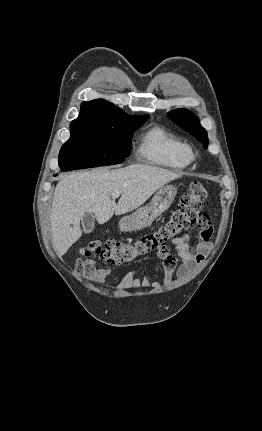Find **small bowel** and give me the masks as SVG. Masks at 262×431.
Wrapping results in <instances>:
<instances>
[{
  "label": "small bowel",
  "mask_w": 262,
  "mask_h": 431,
  "mask_svg": "<svg viewBox=\"0 0 262 431\" xmlns=\"http://www.w3.org/2000/svg\"><path fill=\"white\" fill-rule=\"evenodd\" d=\"M198 225L200 242L196 246L191 245L189 235L185 234L171 240L172 245L176 249V255H160L164 266V278L161 283L152 282L147 275L139 277L134 272L118 275L111 268L97 267L92 260L90 261L92 270L85 273V276L96 283H103L109 277L116 278L122 290L170 286L174 281L175 274L179 278H187L205 259V253L211 244L210 240L213 235V229L207 215L205 220L200 221Z\"/></svg>",
  "instance_id": "small-bowel-1"
}]
</instances>
